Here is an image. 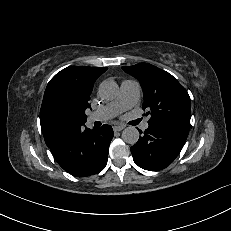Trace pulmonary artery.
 Returning <instances> with one entry per match:
<instances>
[{
  "label": "pulmonary artery",
  "mask_w": 231,
  "mask_h": 231,
  "mask_svg": "<svg viewBox=\"0 0 231 231\" xmlns=\"http://www.w3.org/2000/svg\"><path fill=\"white\" fill-rule=\"evenodd\" d=\"M140 97V85L135 80H123L120 84V91L117 98L103 107L91 112L87 121L93 123L95 121H107L114 118L123 111L134 107ZM149 127V122L145 121L142 124V129L146 130Z\"/></svg>",
  "instance_id": "pulmonary-artery-1"
}]
</instances>
